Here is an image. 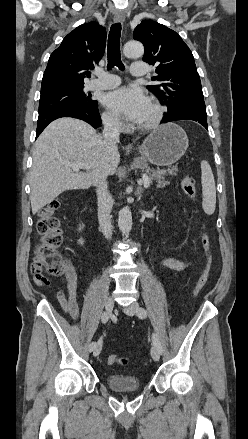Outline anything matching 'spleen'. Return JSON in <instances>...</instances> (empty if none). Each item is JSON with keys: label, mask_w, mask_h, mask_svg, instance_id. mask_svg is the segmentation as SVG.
Segmentation results:
<instances>
[{"label": "spleen", "mask_w": 248, "mask_h": 439, "mask_svg": "<svg viewBox=\"0 0 248 439\" xmlns=\"http://www.w3.org/2000/svg\"><path fill=\"white\" fill-rule=\"evenodd\" d=\"M201 183H202V207L206 214L211 215L216 207V188L214 175L209 163L201 162Z\"/></svg>", "instance_id": "1"}]
</instances>
